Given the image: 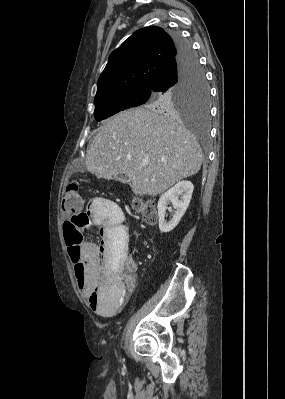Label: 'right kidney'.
Returning a JSON list of instances; mask_svg holds the SVG:
<instances>
[{
  "label": "right kidney",
  "instance_id": "obj_1",
  "mask_svg": "<svg viewBox=\"0 0 285 399\" xmlns=\"http://www.w3.org/2000/svg\"><path fill=\"white\" fill-rule=\"evenodd\" d=\"M193 190L194 186L190 181H180L161 195L157 205L159 229L161 232H170L178 225L189 206ZM179 196H181L180 200L178 198ZM169 202L172 203L175 212L172 219L166 221L165 216Z\"/></svg>",
  "mask_w": 285,
  "mask_h": 399
}]
</instances>
